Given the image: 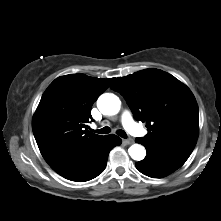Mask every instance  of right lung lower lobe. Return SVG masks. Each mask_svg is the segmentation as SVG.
<instances>
[{"label": "right lung lower lobe", "mask_w": 221, "mask_h": 221, "mask_svg": "<svg viewBox=\"0 0 221 221\" xmlns=\"http://www.w3.org/2000/svg\"><path fill=\"white\" fill-rule=\"evenodd\" d=\"M121 142L122 140L114 134L104 136L86 150L49 165L66 179L77 182L88 181L103 172L109 152Z\"/></svg>", "instance_id": "98d812e1"}]
</instances>
